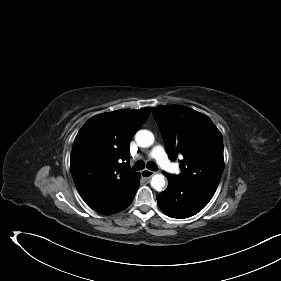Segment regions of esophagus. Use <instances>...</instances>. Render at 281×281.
Instances as JSON below:
<instances>
[{
  "label": "esophagus",
  "instance_id": "1",
  "mask_svg": "<svg viewBox=\"0 0 281 281\" xmlns=\"http://www.w3.org/2000/svg\"><path fill=\"white\" fill-rule=\"evenodd\" d=\"M155 174L154 171L148 170V169H144L141 171V176L143 178H150Z\"/></svg>",
  "mask_w": 281,
  "mask_h": 281
}]
</instances>
